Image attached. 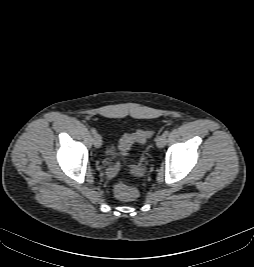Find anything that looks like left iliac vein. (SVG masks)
I'll use <instances>...</instances> for the list:
<instances>
[{"label": "left iliac vein", "instance_id": "obj_1", "mask_svg": "<svg viewBox=\"0 0 254 267\" xmlns=\"http://www.w3.org/2000/svg\"><path fill=\"white\" fill-rule=\"evenodd\" d=\"M165 143H166V136L165 135L162 134L156 138V145L158 148L164 147Z\"/></svg>", "mask_w": 254, "mask_h": 267}]
</instances>
